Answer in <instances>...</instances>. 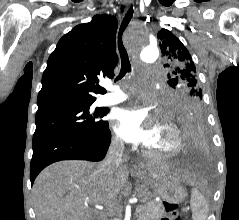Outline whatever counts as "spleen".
<instances>
[{
  "label": "spleen",
  "mask_w": 239,
  "mask_h": 220,
  "mask_svg": "<svg viewBox=\"0 0 239 220\" xmlns=\"http://www.w3.org/2000/svg\"><path fill=\"white\" fill-rule=\"evenodd\" d=\"M191 209L193 220H206L208 217V205L204 196L198 189H193L191 193Z\"/></svg>",
  "instance_id": "obj_1"
}]
</instances>
